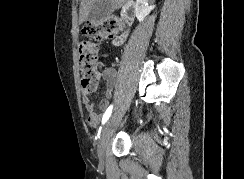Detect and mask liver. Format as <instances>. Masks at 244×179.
Masks as SVG:
<instances>
[{
  "instance_id": "obj_1",
  "label": "liver",
  "mask_w": 244,
  "mask_h": 179,
  "mask_svg": "<svg viewBox=\"0 0 244 179\" xmlns=\"http://www.w3.org/2000/svg\"><path fill=\"white\" fill-rule=\"evenodd\" d=\"M95 2L96 0H81V6L79 10V24H83V22L87 20L88 14ZM124 2H127V0H111V4L114 10H119V8H122Z\"/></svg>"
}]
</instances>
